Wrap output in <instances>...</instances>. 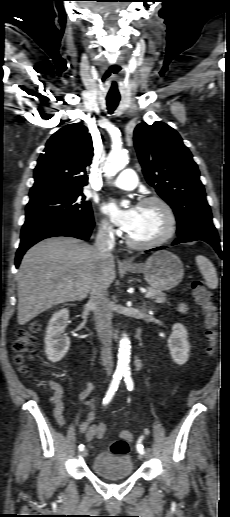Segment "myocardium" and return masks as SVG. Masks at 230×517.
Returning a JSON list of instances; mask_svg holds the SVG:
<instances>
[{"mask_svg": "<svg viewBox=\"0 0 230 517\" xmlns=\"http://www.w3.org/2000/svg\"><path fill=\"white\" fill-rule=\"evenodd\" d=\"M155 203L157 204L165 214L166 217V228L164 232L156 239L146 242H140L134 240L129 234L126 235V241L129 246L136 249H151L159 247L166 242H168L175 234L177 230V217L175 215L174 210L170 206V204L160 196H148L143 198L139 202V206H144L147 204Z\"/></svg>", "mask_w": 230, "mask_h": 517, "instance_id": "myocardium-1", "label": "myocardium"}]
</instances>
